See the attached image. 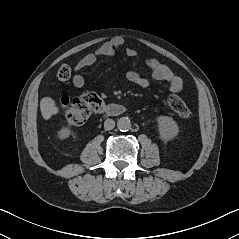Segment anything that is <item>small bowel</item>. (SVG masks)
I'll return each mask as SVG.
<instances>
[{"label":"small bowel","mask_w":239,"mask_h":239,"mask_svg":"<svg viewBox=\"0 0 239 239\" xmlns=\"http://www.w3.org/2000/svg\"><path fill=\"white\" fill-rule=\"evenodd\" d=\"M123 40L121 38H115L111 42L99 46L94 52L89 53L85 55L83 58H81L75 65L74 71H80L81 69L85 67L92 66L100 56H109L113 57L115 56L121 46L123 45ZM126 54L128 57L134 58L137 56V51L133 48H128L126 50ZM145 64L148 67V69L151 72L152 77L155 80L158 81H165L169 84L170 91L172 93H179L183 89V82L182 79L173 73L168 67L161 64L157 59L153 57L146 58ZM127 79L142 87L146 88L149 85V81L142 77L138 72L136 71H130L127 74ZM73 85L76 88H82L85 85V79L82 75L76 74L73 77Z\"/></svg>","instance_id":"c3829d8e"}]
</instances>
